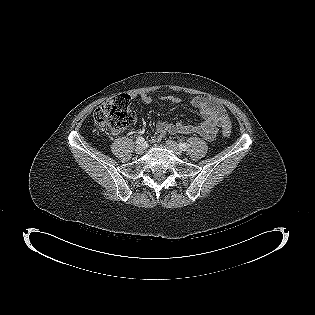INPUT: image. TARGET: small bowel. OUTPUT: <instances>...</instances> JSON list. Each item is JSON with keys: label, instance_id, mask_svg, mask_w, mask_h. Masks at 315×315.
<instances>
[{"label": "small bowel", "instance_id": "1", "mask_svg": "<svg viewBox=\"0 0 315 315\" xmlns=\"http://www.w3.org/2000/svg\"><path fill=\"white\" fill-rule=\"evenodd\" d=\"M140 99L144 104H150L152 102V97L149 94H142ZM162 99L174 104L181 102V99L174 95L163 96ZM190 104L200 111L202 115V121L200 123L190 124L183 121L169 123L159 121L156 125V131L149 137V141L156 143L166 134L175 133L198 134L207 140H211L216 136L218 128H223L225 125L230 127V120L225 109L215 99L209 96L199 95L193 97L190 100ZM118 132V130H114V133Z\"/></svg>", "mask_w": 315, "mask_h": 315}]
</instances>
